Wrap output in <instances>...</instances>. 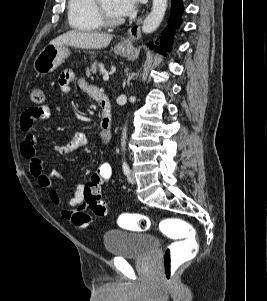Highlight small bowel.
I'll list each match as a JSON object with an SVG mask.
<instances>
[{"mask_svg":"<svg viewBox=\"0 0 267 301\" xmlns=\"http://www.w3.org/2000/svg\"><path fill=\"white\" fill-rule=\"evenodd\" d=\"M74 72L65 70L59 76V91L62 96L70 94V83L74 80ZM78 87L88 96L93 97L99 91L98 88L90 84L84 78L77 81ZM51 117V110L47 106H36L28 108L20 118V128L25 133L21 142L20 150L23 157L29 161V169L31 174L37 179L41 188L48 192L49 198L55 205L60 204V196L54 188L53 177H57L74 188L72 198L69 200L68 207L62 209L61 215L69 220L76 228L85 229L92 222V217L85 212L87 207L84 200V185L72 181L57 172L46 173L43 170V163L37 155V136L33 132L34 122L37 120H45ZM102 144H106L109 139L101 130L99 135ZM88 144V138L83 132H77L72 139L65 144H55L54 149L62 155L73 154L79 148Z\"/></svg>","mask_w":267,"mask_h":301,"instance_id":"small-bowel-1","label":"small bowel"}]
</instances>
